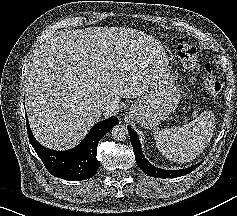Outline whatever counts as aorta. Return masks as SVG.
Instances as JSON below:
<instances>
[{
    "mask_svg": "<svg viewBox=\"0 0 237 216\" xmlns=\"http://www.w3.org/2000/svg\"><path fill=\"white\" fill-rule=\"evenodd\" d=\"M129 135L128 129L123 124L114 126L111 130V136L114 140L124 141Z\"/></svg>",
    "mask_w": 237,
    "mask_h": 216,
    "instance_id": "aorta-1",
    "label": "aorta"
}]
</instances>
